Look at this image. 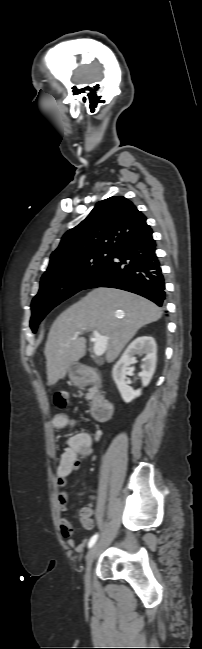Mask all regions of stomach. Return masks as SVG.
<instances>
[{"instance_id": "1", "label": "stomach", "mask_w": 202, "mask_h": 649, "mask_svg": "<svg viewBox=\"0 0 202 649\" xmlns=\"http://www.w3.org/2000/svg\"><path fill=\"white\" fill-rule=\"evenodd\" d=\"M68 375H69L70 380L74 384L78 385V384L81 383V379H80L79 372H78V367L76 365H72L68 369Z\"/></svg>"}]
</instances>
